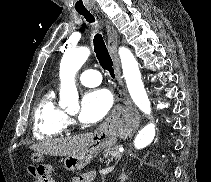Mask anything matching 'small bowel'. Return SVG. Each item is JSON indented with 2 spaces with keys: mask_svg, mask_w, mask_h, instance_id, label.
<instances>
[{
  "mask_svg": "<svg viewBox=\"0 0 211 182\" xmlns=\"http://www.w3.org/2000/svg\"><path fill=\"white\" fill-rule=\"evenodd\" d=\"M92 180H93V174L85 173L80 176L71 178L69 182H92ZM36 182H42V181H36Z\"/></svg>",
  "mask_w": 211,
  "mask_h": 182,
  "instance_id": "small-bowel-1",
  "label": "small bowel"
}]
</instances>
